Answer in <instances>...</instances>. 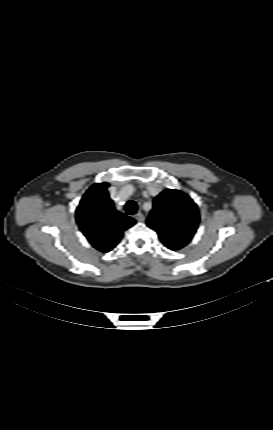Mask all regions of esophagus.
<instances>
[{
  "mask_svg": "<svg viewBox=\"0 0 273 430\" xmlns=\"http://www.w3.org/2000/svg\"><path fill=\"white\" fill-rule=\"evenodd\" d=\"M134 218L137 221H144V215L141 212H138L137 214L134 215Z\"/></svg>",
  "mask_w": 273,
  "mask_h": 430,
  "instance_id": "1",
  "label": "esophagus"
}]
</instances>
